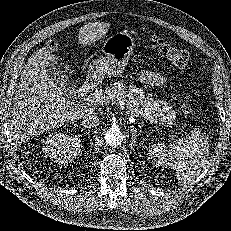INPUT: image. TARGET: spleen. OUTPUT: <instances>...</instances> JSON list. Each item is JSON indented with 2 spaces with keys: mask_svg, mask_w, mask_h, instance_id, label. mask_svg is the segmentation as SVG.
Segmentation results:
<instances>
[{
  "mask_svg": "<svg viewBox=\"0 0 231 231\" xmlns=\"http://www.w3.org/2000/svg\"><path fill=\"white\" fill-rule=\"evenodd\" d=\"M208 150V137L201 130L194 129L188 136L174 143L169 150L162 143L152 145L150 156L159 166L171 167L178 181L188 184L203 168Z\"/></svg>",
  "mask_w": 231,
  "mask_h": 231,
  "instance_id": "1",
  "label": "spleen"
}]
</instances>
